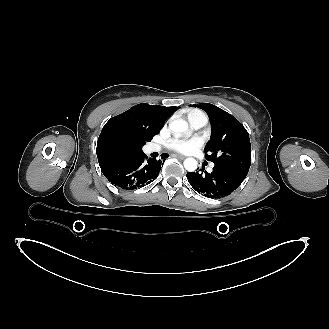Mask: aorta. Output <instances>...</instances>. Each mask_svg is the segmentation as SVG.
Wrapping results in <instances>:
<instances>
[{"label":"aorta","mask_w":329,"mask_h":329,"mask_svg":"<svg viewBox=\"0 0 329 329\" xmlns=\"http://www.w3.org/2000/svg\"><path fill=\"white\" fill-rule=\"evenodd\" d=\"M169 128L174 132V133H182L187 131L188 129V124L184 120H174L169 123ZM197 161L194 158H187L184 160V168L189 171L193 172L197 169Z\"/></svg>","instance_id":"aorta-1"}]
</instances>
